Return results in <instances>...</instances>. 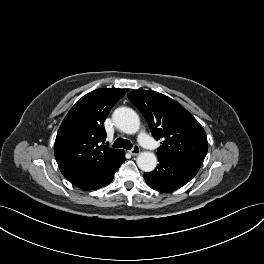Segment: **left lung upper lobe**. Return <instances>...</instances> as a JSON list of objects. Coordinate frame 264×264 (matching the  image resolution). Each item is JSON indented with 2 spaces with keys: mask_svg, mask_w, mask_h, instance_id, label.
I'll use <instances>...</instances> for the list:
<instances>
[{
  "mask_svg": "<svg viewBox=\"0 0 264 264\" xmlns=\"http://www.w3.org/2000/svg\"><path fill=\"white\" fill-rule=\"evenodd\" d=\"M128 98L143 114L154 138L162 141L158 157L201 167L208 149L206 133L183 106L155 91L135 90Z\"/></svg>",
  "mask_w": 264,
  "mask_h": 264,
  "instance_id": "1",
  "label": "left lung upper lobe"
}]
</instances>
